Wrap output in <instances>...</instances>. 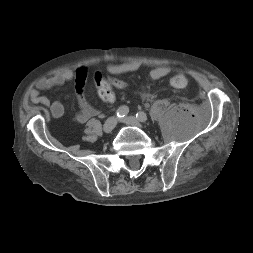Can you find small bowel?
Listing matches in <instances>:
<instances>
[{"instance_id": "c3829d8e", "label": "small bowel", "mask_w": 253, "mask_h": 253, "mask_svg": "<svg viewBox=\"0 0 253 253\" xmlns=\"http://www.w3.org/2000/svg\"><path fill=\"white\" fill-rule=\"evenodd\" d=\"M141 67L140 62H124V63H110L107 66L108 73L112 75H121L130 72L137 71ZM171 72V68L166 65L153 68L149 73L151 81L155 82L161 78L167 76ZM87 78V69L85 67H79L75 71L66 70L59 72L50 77L40 79L36 88L30 92V100L33 104H41L44 107L49 108L50 114L53 118H60L64 114L63 104L56 100L50 102V100L42 95V91L49 90L57 86H61L68 81H74L76 86L77 100L79 105V112L76 115V121L79 123H85L92 117L99 114L98 110L90 105L84 96V84Z\"/></svg>"}]
</instances>
